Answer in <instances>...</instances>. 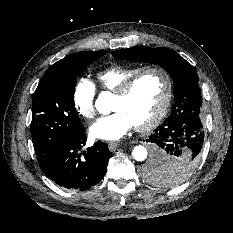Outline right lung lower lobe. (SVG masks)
<instances>
[{
  "instance_id": "obj_1",
  "label": "right lung lower lobe",
  "mask_w": 233,
  "mask_h": 233,
  "mask_svg": "<svg viewBox=\"0 0 233 233\" xmlns=\"http://www.w3.org/2000/svg\"><path fill=\"white\" fill-rule=\"evenodd\" d=\"M86 143L85 131L69 137L57 150L52 159L41 169L44 174L61 187L87 190L96 185L105 175L112 155L101 141L82 154L78 153Z\"/></svg>"
}]
</instances>
